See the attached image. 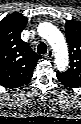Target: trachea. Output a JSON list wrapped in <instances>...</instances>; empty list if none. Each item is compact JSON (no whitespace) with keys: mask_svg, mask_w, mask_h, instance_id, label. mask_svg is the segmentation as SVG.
Here are the masks:
<instances>
[{"mask_svg":"<svg viewBox=\"0 0 81 124\" xmlns=\"http://www.w3.org/2000/svg\"><path fill=\"white\" fill-rule=\"evenodd\" d=\"M37 52L38 54H45L47 52V45L44 42H41L37 46Z\"/></svg>","mask_w":81,"mask_h":124,"instance_id":"obj_1","label":"trachea"}]
</instances>
